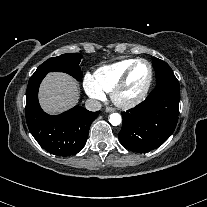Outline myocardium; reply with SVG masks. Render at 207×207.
<instances>
[{
	"mask_svg": "<svg viewBox=\"0 0 207 207\" xmlns=\"http://www.w3.org/2000/svg\"><path fill=\"white\" fill-rule=\"evenodd\" d=\"M139 63H145L148 66V69H149L148 80L144 88L142 89V91L136 97L130 100H122L119 97L120 92L126 86L127 81L133 69ZM152 82H153V68H152L151 63L142 58L135 59L134 62L126 69L124 74L120 77V79L114 85L113 89L111 90V99L114 102V104L118 106L119 108L129 109V108L135 107L136 105H138L140 102L144 100V98L146 97V95L148 94L151 88Z\"/></svg>",
	"mask_w": 207,
	"mask_h": 207,
	"instance_id": "f54148a6",
	"label": "myocardium"
}]
</instances>
